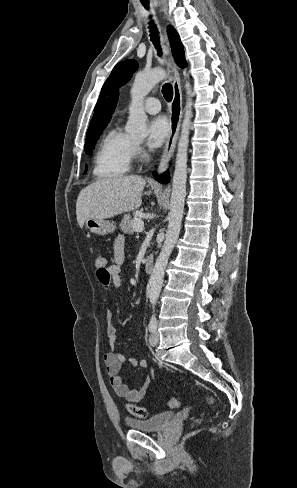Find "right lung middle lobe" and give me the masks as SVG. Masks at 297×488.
Instances as JSON below:
<instances>
[{"label": "right lung middle lobe", "instance_id": "1", "mask_svg": "<svg viewBox=\"0 0 297 488\" xmlns=\"http://www.w3.org/2000/svg\"><path fill=\"white\" fill-rule=\"evenodd\" d=\"M105 126L106 124L98 127L96 130H94L90 135L86 137V143L84 148L87 154L92 153L94 144L98 140L99 136L102 134V131L104 130Z\"/></svg>", "mask_w": 297, "mask_h": 488}]
</instances>
